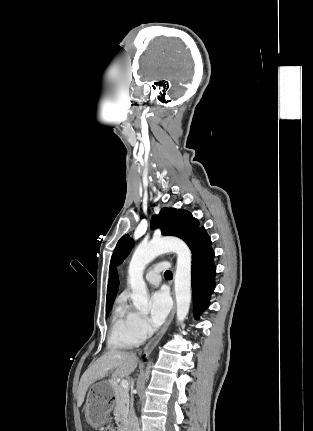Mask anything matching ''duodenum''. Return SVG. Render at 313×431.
Listing matches in <instances>:
<instances>
[{
  "instance_id": "duodenum-1",
  "label": "duodenum",
  "mask_w": 313,
  "mask_h": 431,
  "mask_svg": "<svg viewBox=\"0 0 313 431\" xmlns=\"http://www.w3.org/2000/svg\"><path fill=\"white\" fill-rule=\"evenodd\" d=\"M120 431H132L128 423H123L120 426Z\"/></svg>"
}]
</instances>
